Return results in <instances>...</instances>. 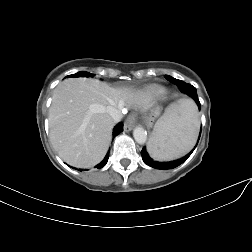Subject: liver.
Listing matches in <instances>:
<instances>
[{"label":"liver","mask_w":252,"mask_h":252,"mask_svg":"<svg viewBox=\"0 0 252 252\" xmlns=\"http://www.w3.org/2000/svg\"><path fill=\"white\" fill-rule=\"evenodd\" d=\"M138 102L126 89L86 78L61 82L54 90L49 109L50 140L69 165L87 168L98 164L109 148L113 119L107 106L123 110Z\"/></svg>","instance_id":"obj_1"}]
</instances>
